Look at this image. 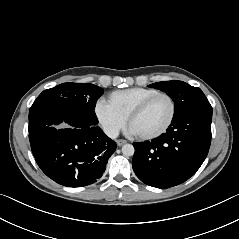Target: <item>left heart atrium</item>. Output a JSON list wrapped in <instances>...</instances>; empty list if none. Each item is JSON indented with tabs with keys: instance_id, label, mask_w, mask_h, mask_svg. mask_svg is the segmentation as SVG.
<instances>
[{
	"instance_id": "39dd6f15",
	"label": "left heart atrium",
	"mask_w": 239,
	"mask_h": 239,
	"mask_svg": "<svg viewBox=\"0 0 239 239\" xmlns=\"http://www.w3.org/2000/svg\"><path fill=\"white\" fill-rule=\"evenodd\" d=\"M128 133L131 134V135H136V133L129 127L128 128Z\"/></svg>"
}]
</instances>
